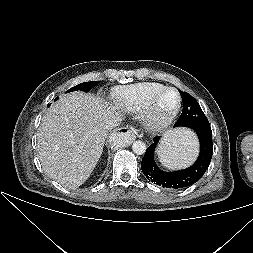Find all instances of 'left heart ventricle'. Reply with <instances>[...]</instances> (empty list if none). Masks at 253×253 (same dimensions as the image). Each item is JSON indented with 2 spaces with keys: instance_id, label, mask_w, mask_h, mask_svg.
<instances>
[{
  "instance_id": "obj_1",
  "label": "left heart ventricle",
  "mask_w": 253,
  "mask_h": 253,
  "mask_svg": "<svg viewBox=\"0 0 253 253\" xmlns=\"http://www.w3.org/2000/svg\"><path fill=\"white\" fill-rule=\"evenodd\" d=\"M178 102V97L176 92L167 91L160 98L157 107H156V115L158 118H163L169 115L174 108L176 107Z\"/></svg>"
}]
</instances>
